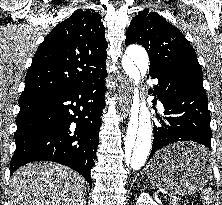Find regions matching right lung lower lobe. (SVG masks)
<instances>
[{
	"instance_id": "98d812e1",
	"label": "right lung lower lobe",
	"mask_w": 222,
	"mask_h": 205,
	"mask_svg": "<svg viewBox=\"0 0 222 205\" xmlns=\"http://www.w3.org/2000/svg\"><path fill=\"white\" fill-rule=\"evenodd\" d=\"M106 73L68 89L20 96L10 175L32 161H53L74 169L92 186Z\"/></svg>"
}]
</instances>
